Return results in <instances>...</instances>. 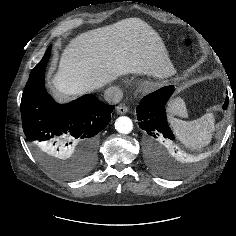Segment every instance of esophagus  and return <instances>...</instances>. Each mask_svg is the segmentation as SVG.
Listing matches in <instances>:
<instances>
[{
	"mask_svg": "<svg viewBox=\"0 0 236 236\" xmlns=\"http://www.w3.org/2000/svg\"><path fill=\"white\" fill-rule=\"evenodd\" d=\"M129 111V107L126 104H120L116 107L117 114H126Z\"/></svg>",
	"mask_w": 236,
	"mask_h": 236,
	"instance_id": "obj_1",
	"label": "esophagus"
}]
</instances>
